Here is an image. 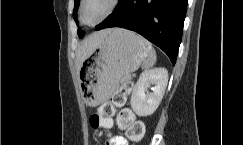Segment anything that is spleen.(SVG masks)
<instances>
[{
    "mask_svg": "<svg viewBox=\"0 0 243 145\" xmlns=\"http://www.w3.org/2000/svg\"><path fill=\"white\" fill-rule=\"evenodd\" d=\"M148 45H149V55L148 58L142 64V68L145 70L153 67V65L156 63V52L150 44Z\"/></svg>",
    "mask_w": 243,
    "mask_h": 145,
    "instance_id": "1",
    "label": "spleen"
}]
</instances>
